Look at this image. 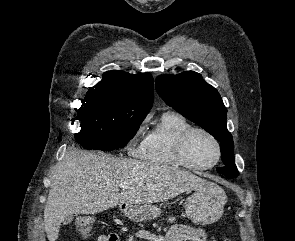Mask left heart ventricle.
I'll return each instance as SVG.
<instances>
[{
  "label": "left heart ventricle",
  "instance_id": "b2bd125f",
  "mask_svg": "<svg viewBox=\"0 0 295 241\" xmlns=\"http://www.w3.org/2000/svg\"><path fill=\"white\" fill-rule=\"evenodd\" d=\"M186 156L195 165L207 166L217 157L216 146L208 136L196 132L187 143Z\"/></svg>",
  "mask_w": 295,
  "mask_h": 241
}]
</instances>
